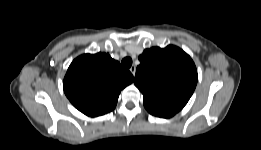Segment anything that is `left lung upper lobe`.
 <instances>
[{
	"instance_id": "5c2ea615",
	"label": "left lung upper lobe",
	"mask_w": 261,
	"mask_h": 150,
	"mask_svg": "<svg viewBox=\"0 0 261 150\" xmlns=\"http://www.w3.org/2000/svg\"><path fill=\"white\" fill-rule=\"evenodd\" d=\"M139 60L134 83L143 94L145 108L152 115L172 117L187 104L196 87L193 60L173 45L146 49Z\"/></svg>"
}]
</instances>
